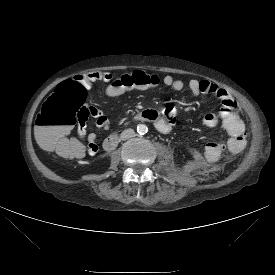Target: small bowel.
I'll return each instance as SVG.
<instances>
[{"instance_id": "obj_1", "label": "small bowel", "mask_w": 275, "mask_h": 275, "mask_svg": "<svg viewBox=\"0 0 275 275\" xmlns=\"http://www.w3.org/2000/svg\"><path fill=\"white\" fill-rule=\"evenodd\" d=\"M75 80L79 81L85 88H90L91 85L96 81L108 82L112 79V76L108 73L96 72L92 74L76 75ZM163 83L165 86L175 90L180 91L184 88L185 84L182 80L175 79L174 77L167 75L163 78ZM204 85H206L204 87ZM190 91L194 95L199 94H210L216 96L222 103L231 101L237 106L236 111L238 112V105L232 96L223 88L214 85L208 81H198L191 80L188 83ZM92 113L90 118L95 120V124L99 128H108V122L101 110L96 107L90 106ZM177 117V111L173 106L161 109L158 106H151L146 111V118L149 122L154 123L156 128L162 133L171 132ZM203 124L207 127H215L220 124L217 114L214 112L206 113L202 118ZM87 122L84 124H79L77 129V136L84 146V151L88 155H95L98 152L97 140L98 136L95 133L86 132ZM224 130L229 135V141L224 144L222 140L218 138H213L208 141L207 145L204 146L202 150V155L205 160L209 162H214L219 158L223 157L225 153L235 154L243 149L246 140L244 137L245 124L241 119L240 124L237 128Z\"/></svg>"}]
</instances>
